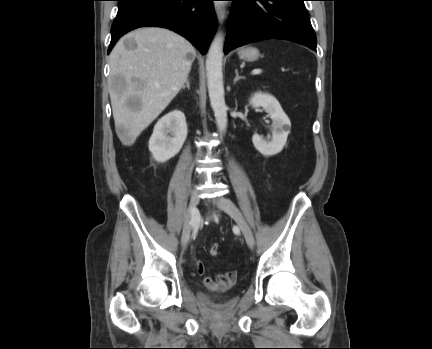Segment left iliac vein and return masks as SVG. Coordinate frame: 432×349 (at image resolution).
<instances>
[{"mask_svg": "<svg viewBox=\"0 0 432 349\" xmlns=\"http://www.w3.org/2000/svg\"><path fill=\"white\" fill-rule=\"evenodd\" d=\"M216 204L220 209L224 210L227 214H229L232 218L235 219L237 225L239 226L244 235L248 246L250 248H253L255 245L253 232L240 210L236 207V205L230 199L224 197L218 198Z\"/></svg>", "mask_w": 432, "mask_h": 349, "instance_id": "obj_1", "label": "left iliac vein"}]
</instances>
